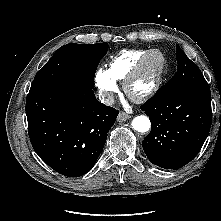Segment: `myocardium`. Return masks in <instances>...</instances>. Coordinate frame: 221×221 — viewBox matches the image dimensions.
<instances>
[{
  "instance_id": "obj_1",
  "label": "myocardium",
  "mask_w": 221,
  "mask_h": 221,
  "mask_svg": "<svg viewBox=\"0 0 221 221\" xmlns=\"http://www.w3.org/2000/svg\"><path fill=\"white\" fill-rule=\"evenodd\" d=\"M154 55H157L159 57V64L154 81L145 91L141 93H133L131 89L133 82L143 71L150 58L153 57ZM165 66H166V58L165 55L160 50L151 49L146 51V53L137 61V63L133 66V68L130 70V72L123 80V89L126 95L132 101L135 102H142L153 96L161 86Z\"/></svg>"
}]
</instances>
